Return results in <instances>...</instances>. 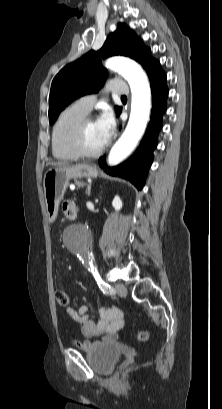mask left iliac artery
Masks as SVG:
<instances>
[{
  "mask_svg": "<svg viewBox=\"0 0 222 409\" xmlns=\"http://www.w3.org/2000/svg\"><path fill=\"white\" fill-rule=\"evenodd\" d=\"M93 276L99 286V288L101 289V291L104 294H110L113 295L115 294V289L113 287H111L108 283H106L105 281L102 280L101 276L99 275L97 270H92Z\"/></svg>",
  "mask_w": 222,
  "mask_h": 409,
  "instance_id": "left-iliac-artery-1",
  "label": "left iliac artery"
}]
</instances>
